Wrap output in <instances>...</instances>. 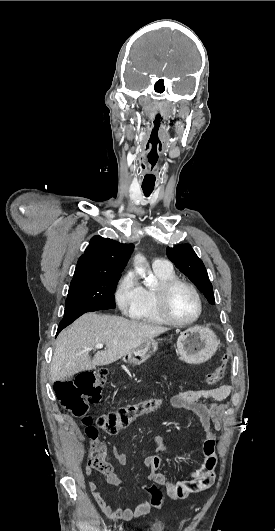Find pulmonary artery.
Returning <instances> with one entry per match:
<instances>
[{"mask_svg":"<svg viewBox=\"0 0 275 531\" xmlns=\"http://www.w3.org/2000/svg\"><path fill=\"white\" fill-rule=\"evenodd\" d=\"M171 269V264L169 261H153L152 270L153 272H169Z\"/></svg>","mask_w":275,"mask_h":531,"instance_id":"pulmonary-artery-1","label":"pulmonary artery"}]
</instances>
